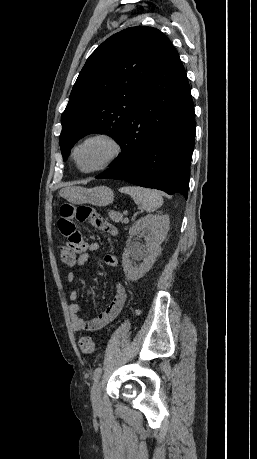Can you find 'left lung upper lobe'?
I'll return each instance as SVG.
<instances>
[{
  "mask_svg": "<svg viewBox=\"0 0 257 459\" xmlns=\"http://www.w3.org/2000/svg\"><path fill=\"white\" fill-rule=\"evenodd\" d=\"M173 50L160 30L137 26L112 35L89 56L61 116L64 161L70 148L89 133L120 141L141 92Z\"/></svg>",
  "mask_w": 257,
  "mask_h": 459,
  "instance_id": "5c2ea615",
  "label": "left lung upper lobe"
}]
</instances>
